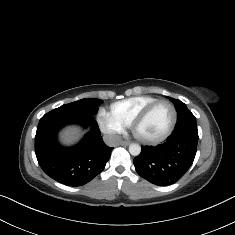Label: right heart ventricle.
I'll return each mask as SVG.
<instances>
[{
    "label": "right heart ventricle",
    "instance_id": "obj_1",
    "mask_svg": "<svg viewBox=\"0 0 235 235\" xmlns=\"http://www.w3.org/2000/svg\"><path fill=\"white\" fill-rule=\"evenodd\" d=\"M156 100H158V98L150 94L130 97L113 103L110 106V113L124 127H130L133 120Z\"/></svg>",
    "mask_w": 235,
    "mask_h": 235
}]
</instances>
